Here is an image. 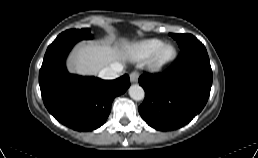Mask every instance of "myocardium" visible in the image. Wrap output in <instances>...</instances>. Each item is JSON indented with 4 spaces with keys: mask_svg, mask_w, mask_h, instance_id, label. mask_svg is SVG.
<instances>
[{
    "mask_svg": "<svg viewBox=\"0 0 258 158\" xmlns=\"http://www.w3.org/2000/svg\"><path fill=\"white\" fill-rule=\"evenodd\" d=\"M166 48H171V54L166 57H163L162 53ZM176 55L177 51L174 45H172L171 43H163L151 55L148 65L152 70L159 71L168 64H170L176 58Z\"/></svg>",
    "mask_w": 258,
    "mask_h": 158,
    "instance_id": "f54148a6",
    "label": "myocardium"
}]
</instances>
